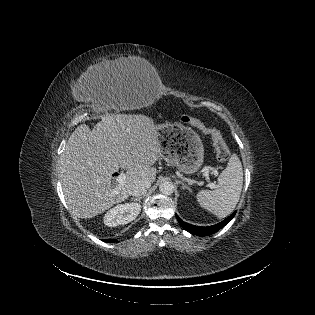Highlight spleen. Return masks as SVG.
Here are the masks:
<instances>
[{
    "label": "spleen",
    "instance_id": "3e777b00",
    "mask_svg": "<svg viewBox=\"0 0 315 315\" xmlns=\"http://www.w3.org/2000/svg\"><path fill=\"white\" fill-rule=\"evenodd\" d=\"M243 185V169L240 159L233 154L227 167L218 177V185L214 190H201L196 199L201 207L212 212L218 218L231 214L236 207Z\"/></svg>",
    "mask_w": 315,
    "mask_h": 315
}]
</instances>
